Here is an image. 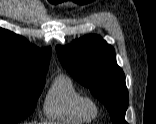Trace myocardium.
Listing matches in <instances>:
<instances>
[{
  "instance_id": "f54148a6",
  "label": "myocardium",
  "mask_w": 156,
  "mask_h": 124,
  "mask_svg": "<svg viewBox=\"0 0 156 124\" xmlns=\"http://www.w3.org/2000/svg\"><path fill=\"white\" fill-rule=\"evenodd\" d=\"M81 108L86 114L98 115L100 105L96 99L89 96H84L81 100Z\"/></svg>"
}]
</instances>
